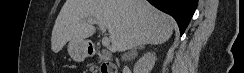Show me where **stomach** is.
<instances>
[{"label": "stomach", "instance_id": "obj_1", "mask_svg": "<svg viewBox=\"0 0 244 73\" xmlns=\"http://www.w3.org/2000/svg\"><path fill=\"white\" fill-rule=\"evenodd\" d=\"M68 52L73 60L83 61L88 55V45L86 41L71 40L68 44Z\"/></svg>", "mask_w": 244, "mask_h": 73}]
</instances>
